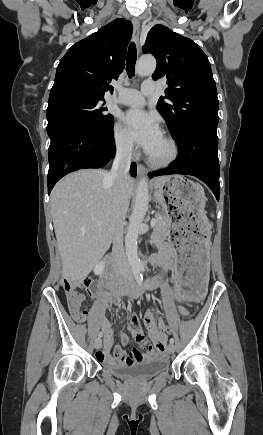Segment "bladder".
Returning a JSON list of instances; mask_svg holds the SVG:
<instances>
[{
	"mask_svg": "<svg viewBox=\"0 0 263 435\" xmlns=\"http://www.w3.org/2000/svg\"><path fill=\"white\" fill-rule=\"evenodd\" d=\"M168 359L157 355L134 364L105 363L103 367L111 374L128 380H148L164 372Z\"/></svg>",
	"mask_w": 263,
	"mask_h": 435,
	"instance_id": "31cf9c89",
	"label": "bladder"
}]
</instances>
